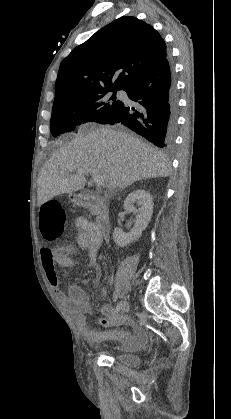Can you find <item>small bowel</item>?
<instances>
[{
    "label": "small bowel",
    "instance_id": "small-bowel-1",
    "mask_svg": "<svg viewBox=\"0 0 231 419\" xmlns=\"http://www.w3.org/2000/svg\"><path fill=\"white\" fill-rule=\"evenodd\" d=\"M75 226L77 228L76 246L67 245L42 250V266L52 290L65 309L78 316L79 331L87 342L95 344L102 341H112L126 350L141 348L144 343V332L139 326L134 325L128 317L117 316L115 311L105 305L101 309L103 317L99 319V324L106 330L90 329L84 320V315L90 310V301L83 287L74 284L68 287L67 293L62 291L55 271V264L65 267L76 265L74 256L80 251H86L88 265L95 269L99 275L97 253L102 237L98 228L83 216L76 217ZM103 295H105V292H103Z\"/></svg>",
    "mask_w": 231,
    "mask_h": 419
}]
</instances>
